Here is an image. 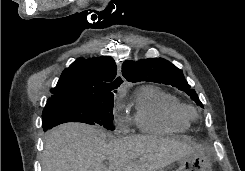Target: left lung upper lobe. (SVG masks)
<instances>
[{"label":"left lung upper lobe","instance_id":"1","mask_svg":"<svg viewBox=\"0 0 245 171\" xmlns=\"http://www.w3.org/2000/svg\"><path fill=\"white\" fill-rule=\"evenodd\" d=\"M122 74L129 82H156L171 85L186 92L198 105L203 107L195 90L190 85L180 69L163 58H149L138 62L126 61L122 66Z\"/></svg>","mask_w":245,"mask_h":171}]
</instances>
